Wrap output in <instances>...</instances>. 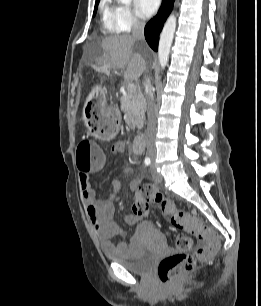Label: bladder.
<instances>
[{"label": "bladder", "instance_id": "obj_1", "mask_svg": "<svg viewBox=\"0 0 261 306\" xmlns=\"http://www.w3.org/2000/svg\"><path fill=\"white\" fill-rule=\"evenodd\" d=\"M150 232L151 238H156L154 245L149 246L145 244L138 235L135 244L130 247L128 253L118 256L105 252L107 259L118 263L130 272L147 273L158 257L159 252L162 251L164 241L163 233L157 229H150Z\"/></svg>", "mask_w": 261, "mask_h": 306}]
</instances>
